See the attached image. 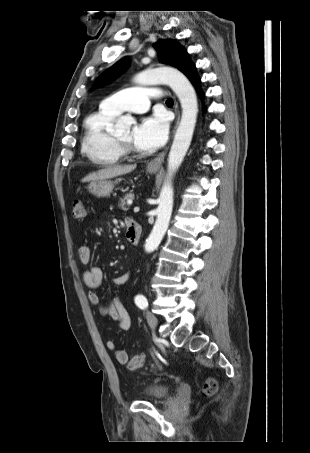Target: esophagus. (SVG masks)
I'll use <instances>...</instances> for the list:
<instances>
[{"instance_id":"obj_1","label":"esophagus","mask_w":310,"mask_h":453,"mask_svg":"<svg viewBox=\"0 0 310 453\" xmlns=\"http://www.w3.org/2000/svg\"><path fill=\"white\" fill-rule=\"evenodd\" d=\"M176 114H177V119H176V125L178 124L179 122V113L177 111V107H176ZM176 127V126H175ZM166 155V150L163 151L162 153H160L158 156H156L154 159H152L149 163H148V167L149 168H158L162 165L163 161H164V157Z\"/></svg>"}]
</instances>
